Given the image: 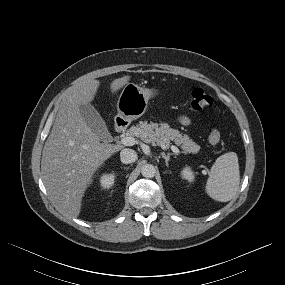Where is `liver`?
Wrapping results in <instances>:
<instances>
[{
  "instance_id": "obj_1",
  "label": "liver",
  "mask_w": 285,
  "mask_h": 285,
  "mask_svg": "<svg viewBox=\"0 0 285 285\" xmlns=\"http://www.w3.org/2000/svg\"><path fill=\"white\" fill-rule=\"evenodd\" d=\"M129 80V76L115 79L110 84L111 92H117ZM99 86L98 80L88 79L63 97L42 152L45 187L62 213L74 218L80 214L82 198L95 172L122 149L119 145L100 143L80 113V106L94 100Z\"/></svg>"
}]
</instances>
